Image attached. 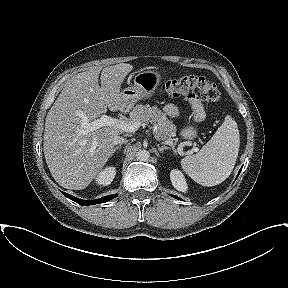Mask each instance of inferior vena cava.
Segmentation results:
<instances>
[{"label":"inferior vena cava","mask_w":288,"mask_h":288,"mask_svg":"<svg viewBox=\"0 0 288 288\" xmlns=\"http://www.w3.org/2000/svg\"><path fill=\"white\" fill-rule=\"evenodd\" d=\"M126 142H127V140L123 137H120V136H115L113 138V144L114 145H117V144L121 145V144H124Z\"/></svg>","instance_id":"602c4592"}]
</instances>
